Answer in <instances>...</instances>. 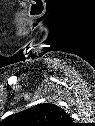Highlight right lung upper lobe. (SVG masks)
<instances>
[{"instance_id":"1","label":"right lung upper lobe","mask_w":95,"mask_h":126,"mask_svg":"<svg viewBox=\"0 0 95 126\" xmlns=\"http://www.w3.org/2000/svg\"><path fill=\"white\" fill-rule=\"evenodd\" d=\"M14 126H71L72 119L64 109L52 103L34 107L7 117Z\"/></svg>"}]
</instances>
